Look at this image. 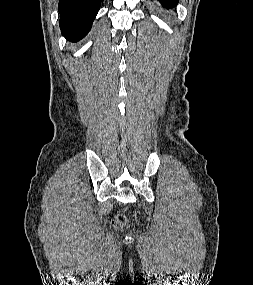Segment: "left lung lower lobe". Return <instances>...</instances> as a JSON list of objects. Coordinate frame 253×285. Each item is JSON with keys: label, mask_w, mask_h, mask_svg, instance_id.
<instances>
[{"label": "left lung lower lobe", "mask_w": 253, "mask_h": 285, "mask_svg": "<svg viewBox=\"0 0 253 285\" xmlns=\"http://www.w3.org/2000/svg\"><path fill=\"white\" fill-rule=\"evenodd\" d=\"M159 1L164 7L172 8L178 3L179 0H159Z\"/></svg>", "instance_id": "obj_1"}]
</instances>
